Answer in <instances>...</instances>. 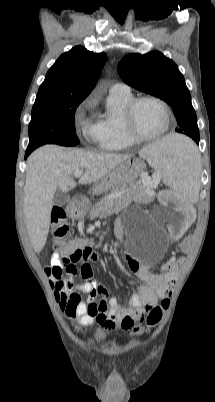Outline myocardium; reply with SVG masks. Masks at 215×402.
Returning <instances> with one entry per match:
<instances>
[{"label": "myocardium", "mask_w": 215, "mask_h": 402, "mask_svg": "<svg viewBox=\"0 0 215 402\" xmlns=\"http://www.w3.org/2000/svg\"><path fill=\"white\" fill-rule=\"evenodd\" d=\"M144 101H152L157 103L164 110L166 116V125L164 129L155 135L141 134L136 128L135 113L140 103ZM171 122H172V113L170 107L164 100L156 96L147 95V96L135 97L126 105L123 112V126L125 132L128 135V137L134 142H149L162 138L169 132L171 128Z\"/></svg>", "instance_id": "obj_1"}]
</instances>
